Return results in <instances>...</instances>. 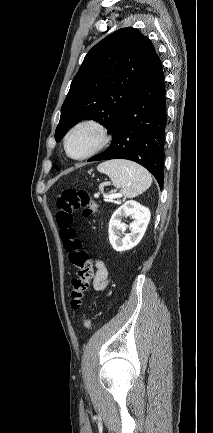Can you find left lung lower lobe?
Segmentation results:
<instances>
[{"label": "left lung lower lobe", "mask_w": 213, "mask_h": 433, "mask_svg": "<svg viewBox=\"0 0 213 433\" xmlns=\"http://www.w3.org/2000/svg\"><path fill=\"white\" fill-rule=\"evenodd\" d=\"M165 127L164 74L158 57L115 123L110 147L88 161H134L149 170L162 189Z\"/></svg>", "instance_id": "1"}]
</instances>
